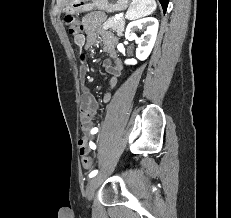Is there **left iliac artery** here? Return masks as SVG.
I'll list each match as a JSON object with an SVG mask.
<instances>
[{
    "instance_id": "left-iliac-artery-1",
    "label": "left iliac artery",
    "mask_w": 231,
    "mask_h": 218,
    "mask_svg": "<svg viewBox=\"0 0 231 218\" xmlns=\"http://www.w3.org/2000/svg\"><path fill=\"white\" fill-rule=\"evenodd\" d=\"M98 132V128L97 127H94L92 130H91V134H96ZM89 146L91 149L95 150L96 149V145L94 142L90 141L89 143ZM98 173V170H93L90 174H89V178H92L94 176H96Z\"/></svg>"
}]
</instances>
